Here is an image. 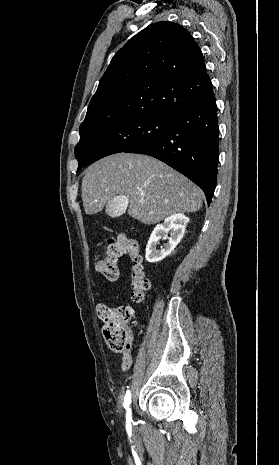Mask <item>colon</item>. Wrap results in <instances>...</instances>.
Wrapping results in <instances>:
<instances>
[{
  "instance_id": "colon-1",
  "label": "colon",
  "mask_w": 279,
  "mask_h": 465,
  "mask_svg": "<svg viewBox=\"0 0 279 465\" xmlns=\"http://www.w3.org/2000/svg\"><path fill=\"white\" fill-rule=\"evenodd\" d=\"M124 256L131 259L130 293L133 301L140 302L150 289L142 256L137 243L126 235H118L107 240L105 252L96 257L95 265L99 273L114 281L119 276L118 261ZM98 316L103 322V335L112 350L127 353L131 348L132 336L128 323L133 317L129 306H98Z\"/></svg>"
}]
</instances>
